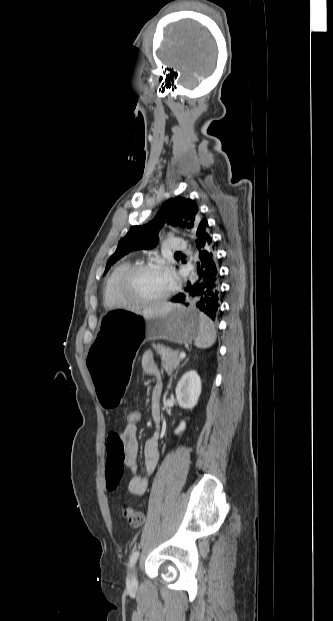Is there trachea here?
Here are the masks:
<instances>
[{
    "mask_svg": "<svg viewBox=\"0 0 333 621\" xmlns=\"http://www.w3.org/2000/svg\"><path fill=\"white\" fill-rule=\"evenodd\" d=\"M175 254H177V255H178V254H182V253H181V252H176Z\"/></svg>",
    "mask_w": 333,
    "mask_h": 621,
    "instance_id": "obj_1",
    "label": "trachea"
}]
</instances>
